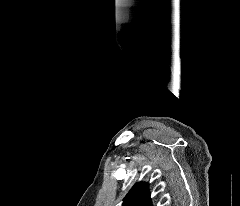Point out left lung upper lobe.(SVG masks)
<instances>
[{
    "instance_id": "5c2ea615",
    "label": "left lung upper lobe",
    "mask_w": 240,
    "mask_h": 206,
    "mask_svg": "<svg viewBox=\"0 0 240 206\" xmlns=\"http://www.w3.org/2000/svg\"><path fill=\"white\" fill-rule=\"evenodd\" d=\"M122 206H152L147 183H137L124 198Z\"/></svg>"
}]
</instances>
